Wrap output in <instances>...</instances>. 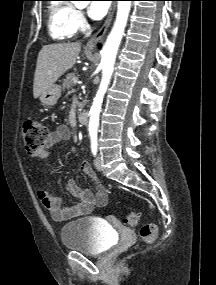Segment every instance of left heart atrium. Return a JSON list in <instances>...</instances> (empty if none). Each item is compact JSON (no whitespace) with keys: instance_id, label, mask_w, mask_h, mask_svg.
<instances>
[{"instance_id":"1","label":"left heart atrium","mask_w":216,"mask_h":285,"mask_svg":"<svg viewBox=\"0 0 216 285\" xmlns=\"http://www.w3.org/2000/svg\"><path fill=\"white\" fill-rule=\"evenodd\" d=\"M109 1H93L89 5L88 14L94 20L102 19L108 12Z\"/></svg>"}]
</instances>
